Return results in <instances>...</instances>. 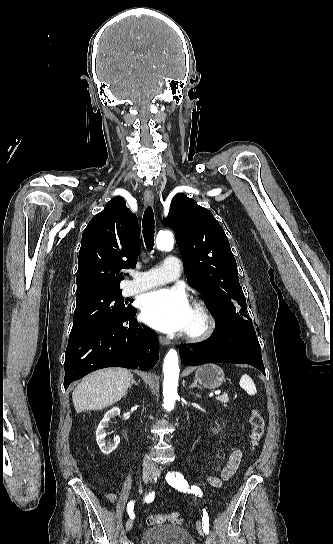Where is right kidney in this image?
<instances>
[{
	"label": "right kidney",
	"mask_w": 333,
	"mask_h": 544,
	"mask_svg": "<svg viewBox=\"0 0 333 544\" xmlns=\"http://www.w3.org/2000/svg\"><path fill=\"white\" fill-rule=\"evenodd\" d=\"M119 414L120 409L118 407L110 409L105 413L104 418L100 421L96 429V441L104 455H109L112 451H114L120 442L119 436L114 437V442H106L105 440V428L108 426L110 419L118 416Z\"/></svg>",
	"instance_id": "1"
}]
</instances>
